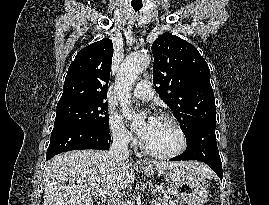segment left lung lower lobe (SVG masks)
<instances>
[{
    "label": "left lung lower lobe",
    "mask_w": 269,
    "mask_h": 205,
    "mask_svg": "<svg viewBox=\"0 0 269 205\" xmlns=\"http://www.w3.org/2000/svg\"><path fill=\"white\" fill-rule=\"evenodd\" d=\"M216 123H203L186 137V151L171 161L199 160L206 163L222 180V163L216 143Z\"/></svg>",
    "instance_id": "obj_1"
}]
</instances>
